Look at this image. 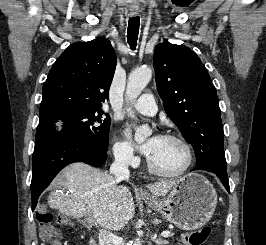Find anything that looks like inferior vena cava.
<instances>
[{"instance_id":"obj_1","label":"inferior vena cava","mask_w":266,"mask_h":245,"mask_svg":"<svg viewBox=\"0 0 266 245\" xmlns=\"http://www.w3.org/2000/svg\"><path fill=\"white\" fill-rule=\"evenodd\" d=\"M128 157L124 155H115L114 163H112L109 171L110 175H114L116 181H126L130 177V171L127 165ZM99 245H115L116 237L110 231L100 229L98 233Z\"/></svg>"}]
</instances>
